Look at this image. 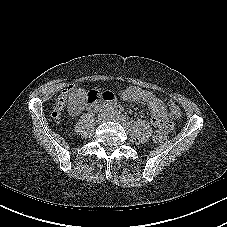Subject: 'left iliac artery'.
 Instances as JSON below:
<instances>
[{
	"label": "left iliac artery",
	"mask_w": 227,
	"mask_h": 227,
	"mask_svg": "<svg viewBox=\"0 0 227 227\" xmlns=\"http://www.w3.org/2000/svg\"><path fill=\"white\" fill-rule=\"evenodd\" d=\"M119 118L129 127H132V123L125 116H119Z\"/></svg>",
	"instance_id": "obj_1"
}]
</instances>
